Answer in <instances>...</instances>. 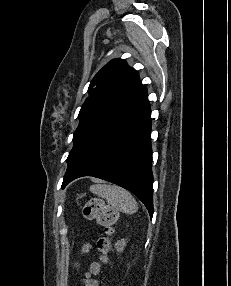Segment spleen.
<instances>
[{
	"label": "spleen",
	"instance_id": "3e777b00",
	"mask_svg": "<svg viewBox=\"0 0 231 286\" xmlns=\"http://www.w3.org/2000/svg\"><path fill=\"white\" fill-rule=\"evenodd\" d=\"M90 191L107 200V202L125 214H133L138 210V204L132 194L116 185L95 184L90 187Z\"/></svg>",
	"mask_w": 231,
	"mask_h": 286
}]
</instances>
